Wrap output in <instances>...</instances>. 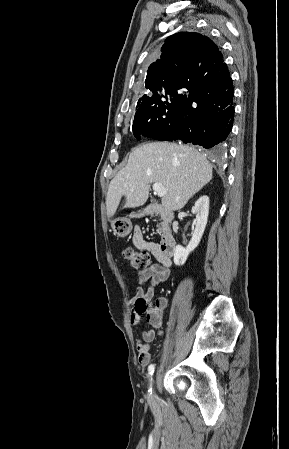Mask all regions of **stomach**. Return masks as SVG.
I'll use <instances>...</instances> for the list:
<instances>
[{"mask_svg":"<svg viewBox=\"0 0 289 449\" xmlns=\"http://www.w3.org/2000/svg\"><path fill=\"white\" fill-rule=\"evenodd\" d=\"M112 229L118 237L124 238L128 236L132 230L131 220L127 217L116 218L112 222Z\"/></svg>","mask_w":289,"mask_h":449,"instance_id":"0dacf381","label":"stomach"}]
</instances>
